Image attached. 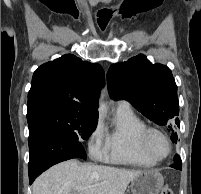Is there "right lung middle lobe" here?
Segmentation results:
<instances>
[{"instance_id":"dd1d6c3e","label":"right lung middle lobe","mask_w":201,"mask_h":194,"mask_svg":"<svg viewBox=\"0 0 201 194\" xmlns=\"http://www.w3.org/2000/svg\"><path fill=\"white\" fill-rule=\"evenodd\" d=\"M27 121L29 131L45 125L73 139L87 140L96 128L98 117L80 115L62 102L44 100L28 105ZM78 158L86 159V154L82 152Z\"/></svg>"}]
</instances>
